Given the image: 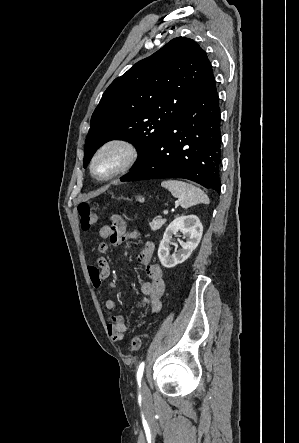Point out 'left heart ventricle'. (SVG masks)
<instances>
[{"label":"left heart ventricle","mask_w":299,"mask_h":443,"mask_svg":"<svg viewBox=\"0 0 299 443\" xmlns=\"http://www.w3.org/2000/svg\"><path fill=\"white\" fill-rule=\"evenodd\" d=\"M120 154L117 151H111L107 153L98 164V171L100 173H105L109 171L114 163L119 159Z\"/></svg>","instance_id":"obj_1"}]
</instances>
